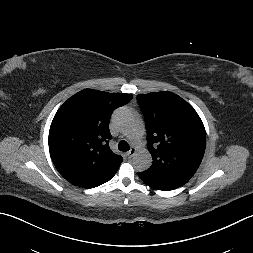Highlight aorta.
I'll return each instance as SVG.
<instances>
[{
  "instance_id": "obj_1",
  "label": "aorta",
  "mask_w": 253,
  "mask_h": 253,
  "mask_svg": "<svg viewBox=\"0 0 253 253\" xmlns=\"http://www.w3.org/2000/svg\"><path fill=\"white\" fill-rule=\"evenodd\" d=\"M113 121L115 125L124 132L132 130L135 126L132 114L124 109H119L114 113ZM133 164L137 171H145L152 164V156L148 150L141 149L134 155Z\"/></svg>"
}]
</instances>
